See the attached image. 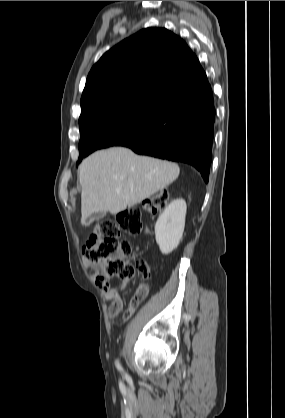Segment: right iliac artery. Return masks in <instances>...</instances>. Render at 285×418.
<instances>
[{
  "mask_svg": "<svg viewBox=\"0 0 285 418\" xmlns=\"http://www.w3.org/2000/svg\"><path fill=\"white\" fill-rule=\"evenodd\" d=\"M116 367H117L118 369H120V370L122 369V367H121V365H120V363H119V361H118V360L116 361Z\"/></svg>",
  "mask_w": 285,
  "mask_h": 418,
  "instance_id": "right-iliac-artery-1",
  "label": "right iliac artery"
}]
</instances>
